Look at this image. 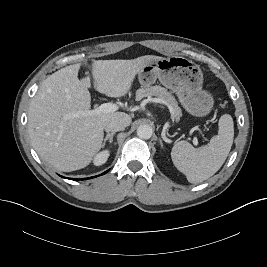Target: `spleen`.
Returning <instances> with one entry per match:
<instances>
[{"instance_id": "obj_1", "label": "spleen", "mask_w": 267, "mask_h": 267, "mask_svg": "<svg viewBox=\"0 0 267 267\" xmlns=\"http://www.w3.org/2000/svg\"><path fill=\"white\" fill-rule=\"evenodd\" d=\"M233 138V119L224 114L219 119L218 134L207 145L196 149L187 141H180L172 148V161L188 182L200 183L213 176L224 164Z\"/></svg>"}]
</instances>
